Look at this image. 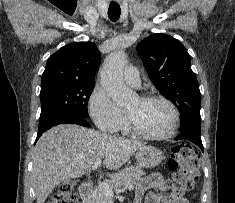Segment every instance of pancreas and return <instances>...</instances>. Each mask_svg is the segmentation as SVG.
<instances>
[{
    "mask_svg": "<svg viewBox=\"0 0 235 203\" xmlns=\"http://www.w3.org/2000/svg\"><path fill=\"white\" fill-rule=\"evenodd\" d=\"M145 171L140 166H130L117 172L106 182L111 188L136 184L140 177L145 175ZM90 203H114L112 197L106 196L98 186L92 193Z\"/></svg>",
    "mask_w": 235,
    "mask_h": 203,
    "instance_id": "1",
    "label": "pancreas"
}]
</instances>
